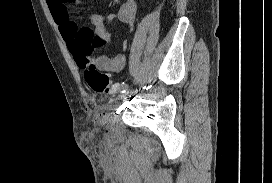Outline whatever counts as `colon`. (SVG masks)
Wrapping results in <instances>:
<instances>
[{
	"mask_svg": "<svg viewBox=\"0 0 272 183\" xmlns=\"http://www.w3.org/2000/svg\"><path fill=\"white\" fill-rule=\"evenodd\" d=\"M89 87L96 93L111 94L117 91L118 86L113 83L109 75L99 71L94 66H89L84 73Z\"/></svg>",
	"mask_w": 272,
	"mask_h": 183,
	"instance_id": "5ec220e1",
	"label": "colon"
}]
</instances>
